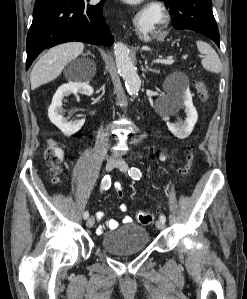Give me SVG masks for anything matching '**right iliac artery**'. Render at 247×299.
<instances>
[{
    "instance_id": "obj_1",
    "label": "right iliac artery",
    "mask_w": 247,
    "mask_h": 299,
    "mask_svg": "<svg viewBox=\"0 0 247 299\" xmlns=\"http://www.w3.org/2000/svg\"><path fill=\"white\" fill-rule=\"evenodd\" d=\"M111 186V178L109 175H106L101 182V190H107L109 189ZM89 217V213L87 211H85L83 213V218L87 219Z\"/></svg>"
}]
</instances>
